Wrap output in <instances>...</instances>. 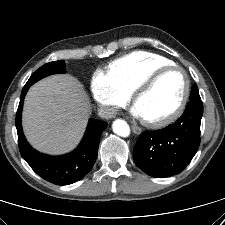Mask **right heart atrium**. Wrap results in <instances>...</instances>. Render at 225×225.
<instances>
[{"instance_id": "d8ad5b80", "label": "right heart atrium", "mask_w": 225, "mask_h": 225, "mask_svg": "<svg viewBox=\"0 0 225 225\" xmlns=\"http://www.w3.org/2000/svg\"><path fill=\"white\" fill-rule=\"evenodd\" d=\"M91 91L97 103L110 116L115 115L130 100V95L121 90L108 73L100 70L92 76Z\"/></svg>"}]
</instances>
